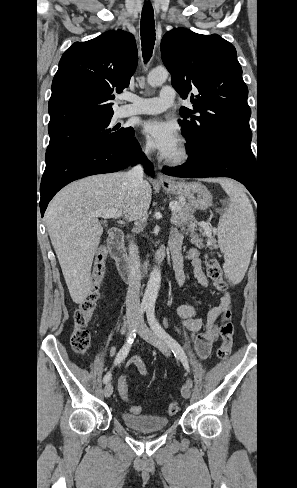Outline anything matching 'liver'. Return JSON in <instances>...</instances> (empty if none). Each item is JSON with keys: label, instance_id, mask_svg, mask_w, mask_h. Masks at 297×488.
Here are the masks:
<instances>
[{"label": "liver", "instance_id": "liver-1", "mask_svg": "<svg viewBox=\"0 0 297 488\" xmlns=\"http://www.w3.org/2000/svg\"><path fill=\"white\" fill-rule=\"evenodd\" d=\"M152 198L147 181L132 188L126 172L90 176L63 188L45 212L51 243L72 300L81 304L92 287L91 267L103 227L92 214L118 209L129 222L142 219Z\"/></svg>", "mask_w": 297, "mask_h": 488}]
</instances>
